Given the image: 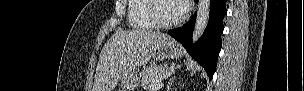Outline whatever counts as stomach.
<instances>
[{
  "mask_svg": "<svg viewBox=\"0 0 304 91\" xmlns=\"http://www.w3.org/2000/svg\"><path fill=\"white\" fill-rule=\"evenodd\" d=\"M182 56L180 45L173 39L167 38L155 49L153 58L155 60L177 59ZM123 91H135L138 86V74L132 69L126 72L121 78Z\"/></svg>",
  "mask_w": 304,
  "mask_h": 91,
  "instance_id": "obj_1",
  "label": "stomach"
}]
</instances>
